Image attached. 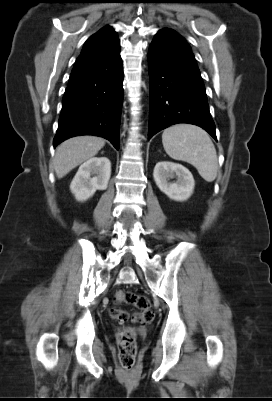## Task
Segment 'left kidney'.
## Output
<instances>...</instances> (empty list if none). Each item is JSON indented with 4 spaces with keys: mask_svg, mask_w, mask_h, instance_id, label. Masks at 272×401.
<instances>
[{
    "mask_svg": "<svg viewBox=\"0 0 272 401\" xmlns=\"http://www.w3.org/2000/svg\"><path fill=\"white\" fill-rule=\"evenodd\" d=\"M175 176L176 182H168ZM153 177L158 188L172 200L185 201L193 194L195 186L193 175L183 165L169 161L158 162Z\"/></svg>",
    "mask_w": 272,
    "mask_h": 401,
    "instance_id": "1",
    "label": "left kidney"
}]
</instances>
